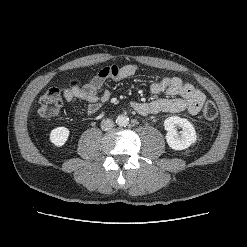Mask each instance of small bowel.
<instances>
[{
  "instance_id": "1",
  "label": "small bowel",
  "mask_w": 247,
  "mask_h": 247,
  "mask_svg": "<svg viewBox=\"0 0 247 247\" xmlns=\"http://www.w3.org/2000/svg\"><path fill=\"white\" fill-rule=\"evenodd\" d=\"M138 67L134 64L124 66H108L99 71L88 83L80 86L74 85L64 90L67 102L84 101L88 103V113L95 114L110 98V91L106 88L108 80L121 81L131 77ZM102 93L99 94V91ZM154 94H165L166 98H159L149 102H131L132 109L140 115H153L158 113H179L187 111L192 115L200 112L205 95L194 85L184 82L176 76H166L151 86Z\"/></svg>"
}]
</instances>
